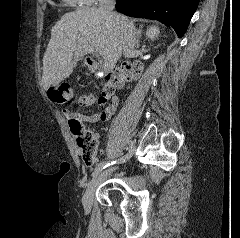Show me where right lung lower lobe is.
Listing matches in <instances>:
<instances>
[{"mask_svg": "<svg viewBox=\"0 0 240 238\" xmlns=\"http://www.w3.org/2000/svg\"><path fill=\"white\" fill-rule=\"evenodd\" d=\"M198 3L199 0H117L116 10L131 17L158 20L172 26L182 37Z\"/></svg>", "mask_w": 240, "mask_h": 238, "instance_id": "obj_1", "label": "right lung lower lobe"}]
</instances>
